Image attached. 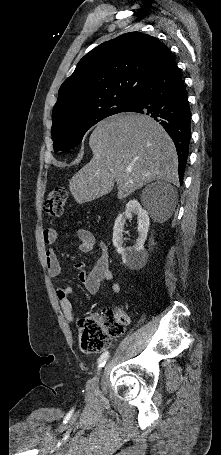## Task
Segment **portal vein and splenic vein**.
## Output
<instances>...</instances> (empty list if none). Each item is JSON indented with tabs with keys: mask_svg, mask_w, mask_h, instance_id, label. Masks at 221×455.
<instances>
[{
	"mask_svg": "<svg viewBox=\"0 0 221 455\" xmlns=\"http://www.w3.org/2000/svg\"><path fill=\"white\" fill-rule=\"evenodd\" d=\"M127 173H130V170H127Z\"/></svg>",
	"mask_w": 221,
	"mask_h": 455,
	"instance_id": "18ae733b",
	"label": "portal vein and splenic vein"
}]
</instances>
